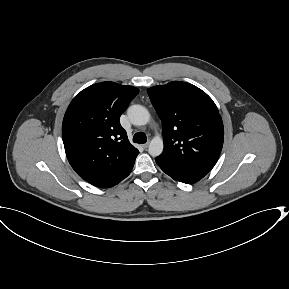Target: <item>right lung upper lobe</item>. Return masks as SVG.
I'll return each mask as SVG.
<instances>
[{
  "instance_id": "right-lung-upper-lobe-1",
  "label": "right lung upper lobe",
  "mask_w": 289,
  "mask_h": 289,
  "mask_svg": "<svg viewBox=\"0 0 289 289\" xmlns=\"http://www.w3.org/2000/svg\"><path fill=\"white\" fill-rule=\"evenodd\" d=\"M139 90L102 82L71 101L62 124L70 165L90 184L107 188L126 178L139 151L130 144L119 118Z\"/></svg>"
}]
</instances>
